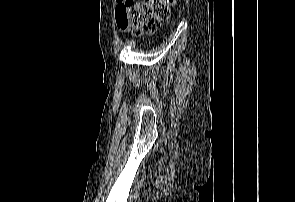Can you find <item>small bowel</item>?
<instances>
[{
	"instance_id": "c3829d8e",
	"label": "small bowel",
	"mask_w": 295,
	"mask_h": 202,
	"mask_svg": "<svg viewBox=\"0 0 295 202\" xmlns=\"http://www.w3.org/2000/svg\"><path fill=\"white\" fill-rule=\"evenodd\" d=\"M126 6V0H117V8L118 10L123 9Z\"/></svg>"
}]
</instances>
